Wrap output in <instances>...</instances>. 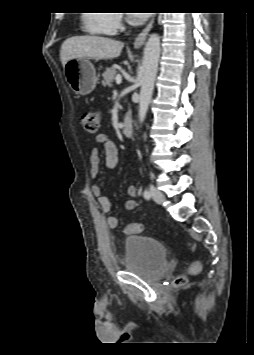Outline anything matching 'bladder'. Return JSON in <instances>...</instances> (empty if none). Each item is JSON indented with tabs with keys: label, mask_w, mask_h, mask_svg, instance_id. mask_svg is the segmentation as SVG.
<instances>
[{
	"label": "bladder",
	"mask_w": 254,
	"mask_h": 355,
	"mask_svg": "<svg viewBox=\"0 0 254 355\" xmlns=\"http://www.w3.org/2000/svg\"><path fill=\"white\" fill-rule=\"evenodd\" d=\"M166 247L151 237L135 235L125 240L124 268L145 278L157 279L166 270Z\"/></svg>",
	"instance_id": "obj_1"
}]
</instances>
